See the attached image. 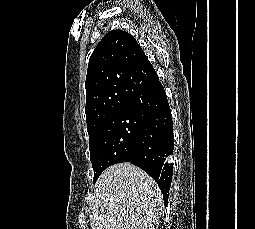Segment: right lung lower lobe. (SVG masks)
I'll return each mask as SVG.
<instances>
[{
  "instance_id": "obj_1",
  "label": "right lung lower lobe",
  "mask_w": 255,
  "mask_h": 229,
  "mask_svg": "<svg viewBox=\"0 0 255 229\" xmlns=\"http://www.w3.org/2000/svg\"><path fill=\"white\" fill-rule=\"evenodd\" d=\"M125 109L141 120L135 148L128 162L143 169L157 182L167 206L173 176V122L164 87L157 75L142 96Z\"/></svg>"
}]
</instances>
